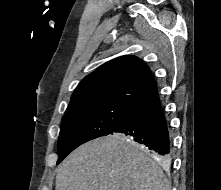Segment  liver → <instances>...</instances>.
Masks as SVG:
<instances>
[{"instance_id": "obj_1", "label": "liver", "mask_w": 221, "mask_h": 190, "mask_svg": "<svg viewBox=\"0 0 221 190\" xmlns=\"http://www.w3.org/2000/svg\"><path fill=\"white\" fill-rule=\"evenodd\" d=\"M115 133L74 150L57 168L55 190H171L159 161Z\"/></svg>"}]
</instances>
